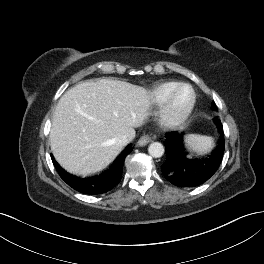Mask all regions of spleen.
Wrapping results in <instances>:
<instances>
[{"instance_id":"spleen-1","label":"spleen","mask_w":264,"mask_h":264,"mask_svg":"<svg viewBox=\"0 0 264 264\" xmlns=\"http://www.w3.org/2000/svg\"><path fill=\"white\" fill-rule=\"evenodd\" d=\"M185 140L194 152L201 155L210 152L214 146V139L209 136L188 134Z\"/></svg>"}]
</instances>
